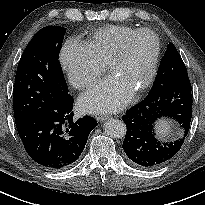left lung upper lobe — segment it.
I'll return each instance as SVG.
<instances>
[{"mask_svg": "<svg viewBox=\"0 0 205 205\" xmlns=\"http://www.w3.org/2000/svg\"><path fill=\"white\" fill-rule=\"evenodd\" d=\"M184 76H188L186 66L174 44L169 43L167 51L161 60L153 87Z\"/></svg>", "mask_w": 205, "mask_h": 205, "instance_id": "obj_1", "label": "left lung upper lobe"}]
</instances>
